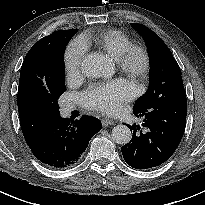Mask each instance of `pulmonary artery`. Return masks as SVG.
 Returning <instances> with one entry per match:
<instances>
[{"mask_svg": "<svg viewBox=\"0 0 205 205\" xmlns=\"http://www.w3.org/2000/svg\"><path fill=\"white\" fill-rule=\"evenodd\" d=\"M64 113L65 114H68L71 110H72V107L71 106H69V105H66V106H64Z\"/></svg>", "mask_w": 205, "mask_h": 205, "instance_id": "pulmonary-artery-1", "label": "pulmonary artery"}]
</instances>
